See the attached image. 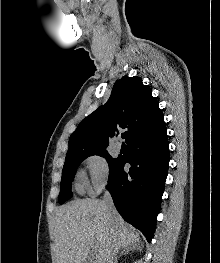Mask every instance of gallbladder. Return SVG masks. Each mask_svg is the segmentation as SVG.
I'll return each instance as SVG.
<instances>
[{"instance_id":"bac80fb5","label":"gallbladder","mask_w":220,"mask_h":263,"mask_svg":"<svg viewBox=\"0 0 220 263\" xmlns=\"http://www.w3.org/2000/svg\"><path fill=\"white\" fill-rule=\"evenodd\" d=\"M83 263H91V261L90 260H86Z\"/></svg>"}]
</instances>
